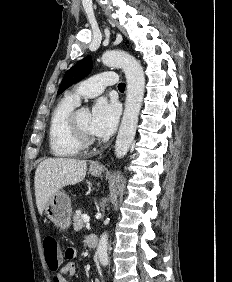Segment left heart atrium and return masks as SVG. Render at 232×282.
I'll use <instances>...</instances> for the list:
<instances>
[{
	"label": "left heart atrium",
	"instance_id": "1",
	"mask_svg": "<svg viewBox=\"0 0 232 282\" xmlns=\"http://www.w3.org/2000/svg\"><path fill=\"white\" fill-rule=\"evenodd\" d=\"M120 108L114 101L98 99L92 109L90 119V130L93 135L107 137L117 127Z\"/></svg>",
	"mask_w": 232,
	"mask_h": 282
}]
</instances>
